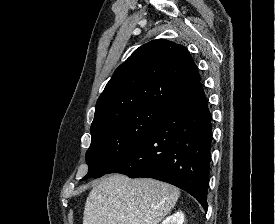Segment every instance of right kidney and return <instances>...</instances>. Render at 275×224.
<instances>
[{"label": "right kidney", "instance_id": "1", "mask_svg": "<svg viewBox=\"0 0 275 224\" xmlns=\"http://www.w3.org/2000/svg\"><path fill=\"white\" fill-rule=\"evenodd\" d=\"M184 214L182 211H177L171 216H168L161 224H183Z\"/></svg>", "mask_w": 275, "mask_h": 224}]
</instances>
